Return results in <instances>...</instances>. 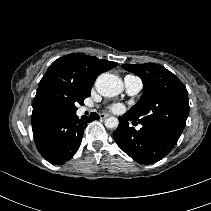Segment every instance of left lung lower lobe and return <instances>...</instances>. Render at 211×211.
<instances>
[{
	"instance_id": "0a47b994",
	"label": "left lung lower lobe",
	"mask_w": 211,
	"mask_h": 211,
	"mask_svg": "<svg viewBox=\"0 0 211 211\" xmlns=\"http://www.w3.org/2000/svg\"><path fill=\"white\" fill-rule=\"evenodd\" d=\"M133 120L127 112L119 117V126L113 137L118 146L140 164H152L161 160L178 141L163 130L146 125L136 131L129 126V121Z\"/></svg>"
}]
</instances>
